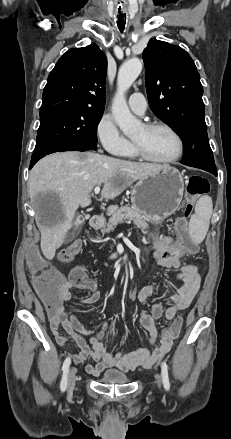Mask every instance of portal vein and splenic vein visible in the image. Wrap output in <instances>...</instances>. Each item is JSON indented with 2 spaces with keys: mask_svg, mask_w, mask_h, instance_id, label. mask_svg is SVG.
<instances>
[{
  "mask_svg": "<svg viewBox=\"0 0 231 439\" xmlns=\"http://www.w3.org/2000/svg\"><path fill=\"white\" fill-rule=\"evenodd\" d=\"M99 192H100V187L96 186L95 189H94V193L95 194H99Z\"/></svg>",
  "mask_w": 231,
  "mask_h": 439,
  "instance_id": "obj_1",
  "label": "portal vein and splenic vein"
}]
</instances>
